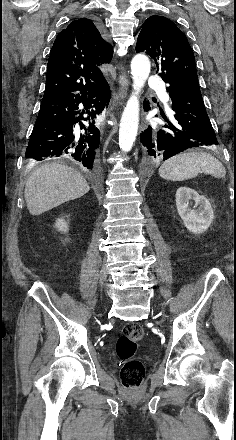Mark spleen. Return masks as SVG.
I'll return each instance as SVG.
<instances>
[{
    "mask_svg": "<svg viewBox=\"0 0 236 440\" xmlns=\"http://www.w3.org/2000/svg\"><path fill=\"white\" fill-rule=\"evenodd\" d=\"M160 177L170 181H183L195 178L200 173L216 178L226 175L225 167L210 153L190 151L166 160L158 170Z\"/></svg>",
    "mask_w": 236,
    "mask_h": 440,
    "instance_id": "3e777b00",
    "label": "spleen"
}]
</instances>
